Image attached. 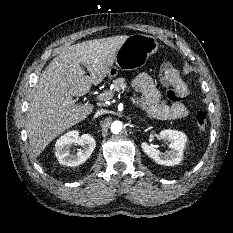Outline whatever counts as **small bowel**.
Returning <instances> with one entry per match:
<instances>
[{"mask_svg": "<svg viewBox=\"0 0 233 233\" xmlns=\"http://www.w3.org/2000/svg\"><path fill=\"white\" fill-rule=\"evenodd\" d=\"M132 84L140 91L141 106L150 116L161 120H179L188 116L189 111L182 101L168 104L162 98L159 90L148 74L139 73L135 75ZM175 85L186 98L188 95L186 82L180 78Z\"/></svg>", "mask_w": 233, "mask_h": 233, "instance_id": "obj_1", "label": "small bowel"}]
</instances>
